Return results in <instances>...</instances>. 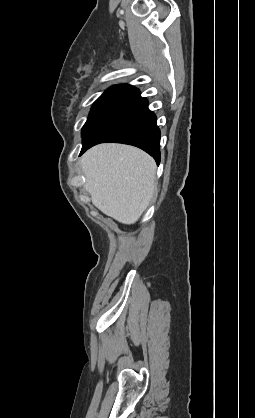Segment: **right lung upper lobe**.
<instances>
[{
    "label": "right lung upper lobe",
    "instance_id": "cb5924a9",
    "mask_svg": "<svg viewBox=\"0 0 255 418\" xmlns=\"http://www.w3.org/2000/svg\"><path fill=\"white\" fill-rule=\"evenodd\" d=\"M117 87H122V88H128V87H130V85H128V84H125V85H117Z\"/></svg>",
    "mask_w": 255,
    "mask_h": 418
}]
</instances>
